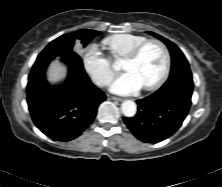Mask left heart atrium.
Returning <instances> with one entry per match:
<instances>
[{"mask_svg":"<svg viewBox=\"0 0 222 187\" xmlns=\"http://www.w3.org/2000/svg\"><path fill=\"white\" fill-rule=\"evenodd\" d=\"M141 87V83L132 73L125 72L115 79L111 85V90L118 94L127 95L137 92Z\"/></svg>","mask_w":222,"mask_h":187,"instance_id":"1","label":"left heart atrium"}]
</instances>
